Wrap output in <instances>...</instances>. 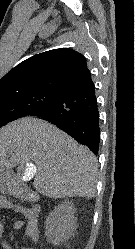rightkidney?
<instances>
[{
    "label": "right kidney",
    "instance_id": "obj_1",
    "mask_svg": "<svg viewBox=\"0 0 135 249\" xmlns=\"http://www.w3.org/2000/svg\"><path fill=\"white\" fill-rule=\"evenodd\" d=\"M75 207L72 202L59 204L46 218L45 236L53 245L67 241L76 230Z\"/></svg>",
    "mask_w": 135,
    "mask_h": 249
}]
</instances>
